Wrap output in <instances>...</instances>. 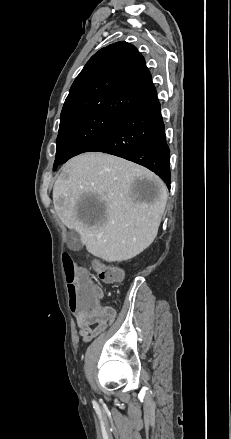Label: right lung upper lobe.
Listing matches in <instances>:
<instances>
[{
  "label": "right lung upper lobe",
  "instance_id": "1",
  "mask_svg": "<svg viewBox=\"0 0 231 439\" xmlns=\"http://www.w3.org/2000/svg\"><path fill=\"white\" fill-rule=\"evenodd\" d=\"M157 97L143 56L120 41L93 55L73 82L61 118L89 111L122 117Z\"/></svg>",
  "mask_w": 231,
  "mask_h": 439
}]
</instances>
